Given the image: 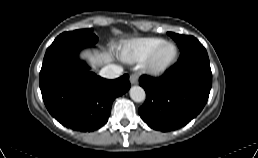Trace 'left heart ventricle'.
I'll use <instances>...</instances> for the list:
<instances>
[{
	"label": "left heart ventricle",
	"mask_w": 258,
	"mask_h": 158,
	"mask_svg": "<svg viewBox=\"0 0 258 158\" xmlns=\"http://www.w3.org/2000/svg\"><path fill=\"white\" fill-rule=\"evenodd\" d=\"M174 53H175V49L172 45L163 46L159 50L158 54L156 55V57L154 59V65L160 66V65L166 63L167 61L172 59V57L174 56Z\"/></svg>",
	"instance_id": "obj_1"
}]
</instances>
